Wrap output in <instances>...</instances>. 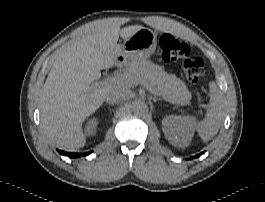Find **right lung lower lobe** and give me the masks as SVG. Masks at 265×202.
Instances as JSON below:
<instances>
[{
  "mask_svg": "<svg viewBox=\"0 0 265 202\" xmlns=\"http://www.w3.org/2000/svg\"><path fill=\"white\" fill-rule=\"evenodd\" d=\"M59 153L65 156H68L70 158H77V157H81V156H87L88 154H90L91 152L85 153V154H81V153H68V152H64L59 150Z\"/></svg>",
  "mask_w": 265,
  "mask_h": 202,
  "instance_id": "obj_1",
  "label": "right lung lower lobe"
}]
</instances>
